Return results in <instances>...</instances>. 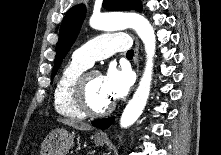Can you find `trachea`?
<instances>
[{"label": "trachea", "instance_id": "3493384b", "mask_svg": "<svg viewBox=\"0 0 221 155\" xmlns=\"http://www.w3.org/2000/svg\"><path fill=\"white\" fill-rule=\"evenodd\" d=\"M133 55H134V51L133 50H129L128 52H127V54H126V56L127 57H133Z\"/></svg>", "mask_w": 221, "mask_h": 155}]
</instances>
